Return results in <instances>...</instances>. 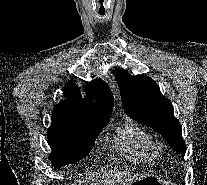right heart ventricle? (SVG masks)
<instances>
[{"instance_id":"right-heart-ventricle-1","label":"right heart ventricle","mask_w":207,"mask_h":185,"mask_svg":"<svg viewBox=\"0 0 207 185\" xmlns=\"http://www.w3.org/2000/svg\"><path fill=\"white\" fill-rule=\"evenodd\" d=\"M118 143L136 161L152 162L159 155L151 136L133 122H127L120 128Z\"/></svg>"}]
</instances>
